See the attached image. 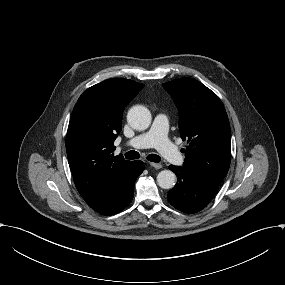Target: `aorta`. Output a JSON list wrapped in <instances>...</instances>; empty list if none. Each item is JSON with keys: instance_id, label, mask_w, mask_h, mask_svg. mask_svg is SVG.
<instances>
[{"instance_id": "aorta-1", "label": "aorta", "mask_w": 285, "mask_h": 285, "mask_svg": "<svg viewBox=\"0 0 285 285\" xmlns=\"http://www.w3.org/2000/svg\"><path fill=\"white\" fill-rule=\"evenodd\" d=\"M151 113L144 106H134L127 114L128 124L135 130H146L151 124ZM176 175L171 170H163L157 175L158 185L163 189H171L175 185Z\"/></svg>"}]
</instances>
